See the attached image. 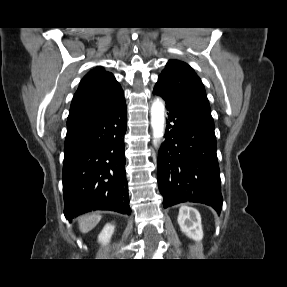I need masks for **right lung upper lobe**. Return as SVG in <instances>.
I'll list each match as a JSON object with an SVG mask.
<instances>
[{
    "label": "right lung upper lobe",
    "mask_w": 287,
    "mask_h": 287,
    "mask_svg": "<svg viewBox=\"0 0 287 287\" xmlns=\"http://www.w3.org/2000/svg\"><path fill=\"white\" fill-rule=\"evenodd\" d=\"M124 100L123 90L113 74L96 67L81 80L67 122L109 112Z\"/></svg>",
    "instance_id": "right-lung-upper-lobe-1"
}]
</instances>
